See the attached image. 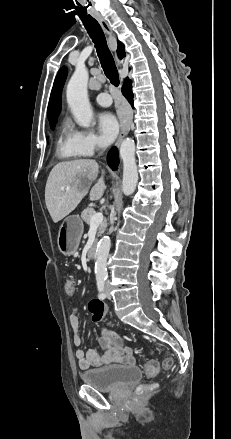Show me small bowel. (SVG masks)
I'll use <instances>...</instances> for the list:
<instances>
[{"instance_id": "obj_1", "label": "small bowel", "mask_w": 231, "mask_h": 439, "mask_svg": "<svg viewBox=\"0 0 231 439\" xmlns=\"http://www.w3.org/2000/svg\"><path fill=\"white\" fill-rule=\"evenodd\" d=\"M73 343L76 346L75 357L79 368L82 370L90 367H100L110 364H133L132 350L124 345L122 338L114 331L104 328L99 338V347L84 351L81 348V323L78 316V308H73L69 316Z\"/></svg>"}]
</instances>
